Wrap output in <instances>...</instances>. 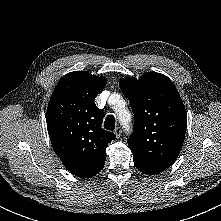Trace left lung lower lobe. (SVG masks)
<instances>
[{"mask_svg":"<svg viewBox=\"0 0 221 221\" xmlns=\"http://www.w3.org/2000/svg\"><path fill=\"white\" fill-rule=\"evenodd\" d=\"M136 167L138 168V170L149 175L157 174L164 170V169H157V168L142 167V166H137V165Z\"/></svg>","mask_w":221,"mask_h":221,"instance_id":"obj_1","label":"left lung lower lobe"}]
</instances>
